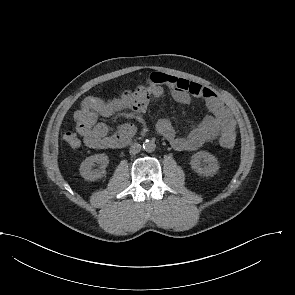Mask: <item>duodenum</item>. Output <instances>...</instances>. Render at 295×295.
Here are the masks:
<instances>
[{"instance_id": "duodenum-1", "label": "duodenum", "mask_w": 295, "mask_h": 295, "mask_svg": "<svg viewBox=\"0 0 295 295\" xmlns=\"http://www.w3.org/2000/svg\"><path fill=\"white\" fill-rule=\"evenodd\" d=\"M127 142H128V139H120V140L117 142V146H123V145H125Z\"/></svg>"}]
</instances>
